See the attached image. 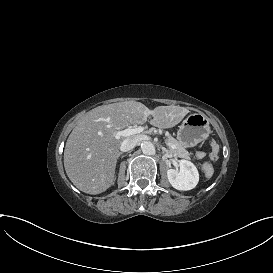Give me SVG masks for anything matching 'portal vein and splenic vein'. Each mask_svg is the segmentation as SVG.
Masks as SVG:
<instances>
[{"label": "portal vein and splenic vein", "instance_id": "portal-vein-and-splenic-vein-1", "mask_svg": "<svg viewBox=\"0 0 273 273\" xmlns=\"http://www.w3.org/2000/svg\"><path fill=\"white\" fill-rule=\"evenodd\" d=\"M142 131V128L138 127V128H127L124 131H122V135L123 136H131L133 134H137L140 133ZM171 150H177V147H175L174 145L170 146Z\"/></svg>", "mask_w": 273, "mask_h": 273}]
</instances>
